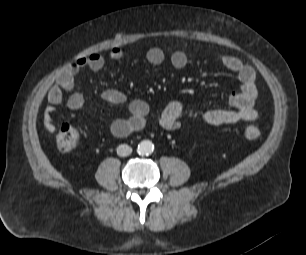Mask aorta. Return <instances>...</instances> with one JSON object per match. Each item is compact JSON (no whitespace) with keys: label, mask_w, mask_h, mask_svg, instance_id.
<instances>
[{"label":"aorta","mask_w":306,"mask_h":255,"mask_svg":"<svg viewBox=\"0 0 306 255\" xmlns=\"http://www.w3.org/2000/svg\"><path fill=\"white\" fill-rule=\"evenodd\" d=\"M154 151V144L150 140H143L138 144L137 153L141 156H148Z\"/></svg>","instance_id":"1"}]
</instances>
